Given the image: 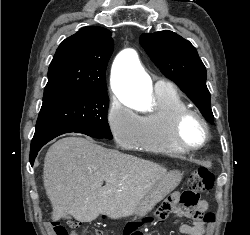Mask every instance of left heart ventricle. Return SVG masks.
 <instances>
[{
	"instance_id": "1",
	"label": "left heart ventricle",
	"mask_w": 250,
	"mask_h": 235,
	"mask_svg": "<svg viewBox=\"0 0 250 235\" xmlns=\"http://www.w3.org/2000/svg\"><path fill=\"white\" fill-rule=\"evenodd\" d=\"M204 137L201 123L194 117L189 118L182 127V138L189 145H198Z\"/></svg>"
}]
</instances>
